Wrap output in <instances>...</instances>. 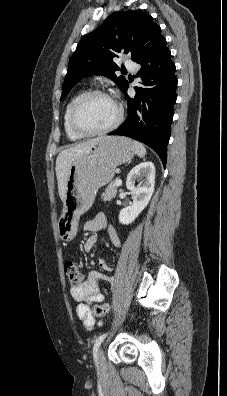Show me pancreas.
Listing matches in <instances>:
<instances>
[{
	"label": "pancreas",
	"instance_id": "1",
	"mask_svg": "<svg viewBox=\"0 0 227 396\" xmlns=\"http://www.w3.org/2000/svg\"><path fill=\"white\" fill-rule=\"evenodd\" d=\"M115 182H116V180L111 182L105 189V192L101 196L103 201H111L113 198H115L116 193H117V186H116Z\"/></svg>",
	"mask_w": 227,
	"mask_h": 396
}]
</instances>
